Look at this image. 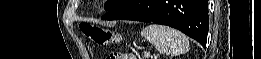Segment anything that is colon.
Masks as SVG:
<instances>
[{
  "label": "colon",
  "mask_w": 261,
  "mask_h": 59,
  "mask_svg": "<svg viewBox=\"0 0 261 59\" xmlns=\"http://www.w3.org/2000/svg\"><path fill=\"white\" fill-rule=\"evenodd\" d=\"M81 30L97 45H108L118 41V36L114 32L100 26L84 24L81 26ZM108 59H120V56L114 53ZM125 59H136V57L132 54H126Z\"/></svg>",
  "instance_id": "5ec220e1"
}]
</instances>
